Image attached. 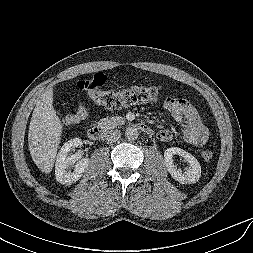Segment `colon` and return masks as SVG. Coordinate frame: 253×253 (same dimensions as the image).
Wrapping results in <instances>:
<instances>
[{
	"label": "colon",
	"instance_id": "obj_1",
	"mask_svg": "<svg viewBox=\"0 0 253 253\" xmlns=\"http://www.w3.org/2000/svg\"><path fill=\"white\" fill-rule=\"evenodd\" d=\"M105 82V75L99 73L91 79L80 81L78 87L85 90L93 102L107 107H122L142 102H153L158 99L160 94L158 86H137L119 92L106 91L102 89ZM85 115L86 107L80 105L75 112L66 115L64 122L68 125L76 124L83 120ZM202 157L205 161H209L213 157V152L206 150L203 152Z\"/></svg>",
	"mask_w": 253,
	"mask_h": 253
}]
</instances>
